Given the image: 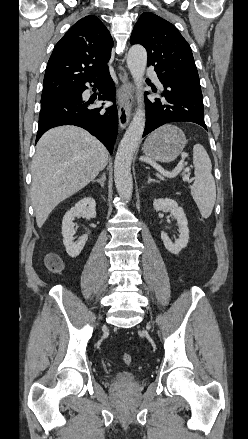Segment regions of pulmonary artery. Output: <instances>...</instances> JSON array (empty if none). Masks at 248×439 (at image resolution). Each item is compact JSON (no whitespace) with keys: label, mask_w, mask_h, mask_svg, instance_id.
Instances as JSON below:
<instances>
[{"label":"pulmonary artery","mask_w":248,"mask_h":439,"mask_svg":"<svg viewBox=\"0 0 248 439\" xmlns=\"http://www.w3.org/2000/svg\"><path fill=\"white\" fill-rule=\"evenodd\" d=\"M147 74H148V76L151 77L155 82L159 83V80H158V78H157V75H156V73H155L154 71H152V70H148V71H147Z\"/></svg>","instance_id":"1"}]
</instances>
